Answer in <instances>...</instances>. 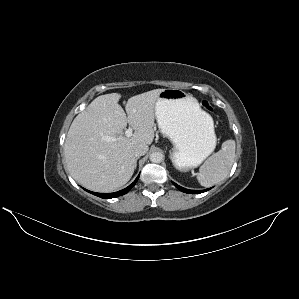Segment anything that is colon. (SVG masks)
I'll return each mask as SVG.
<instances>
[{"label": "colon", "mask_w": 299, "mask_h": 299, "mask_svg": "<svg viewBox=\"0 0 299 299\" xmlns=\"http://www.w3.org/2000/svg\"><path fill=\"white\" fill-rule=\"evenodd\" d=\"M202 105L204 106V108L208 111H212V107L211 105L207 102V101H203Z\"/></svg>", "instance_id": "5ec220e1"}]
</instances>
